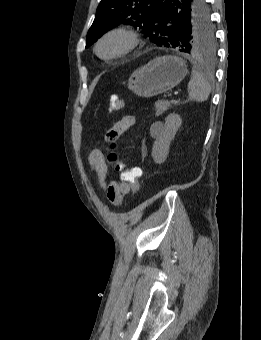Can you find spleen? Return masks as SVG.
Masks as SVG:
<instances>
[{
    "instance_id": "3e777b00",
    "label": "spleen",
    "mask_w": 261,
    "mask_h": 340,
    "mask_svg": "<svg viewBox=\"0 0 261 340\" xmlns=\"http://www.w3.org/2000/svg\"><path fill=\"white\" fill-rule=\"evenodd\" d=\"M189 99L197 102H204L211 92V85L205 75L196 68L192 70V78L188 83Z\"/></svg>"
}]
</instances>
